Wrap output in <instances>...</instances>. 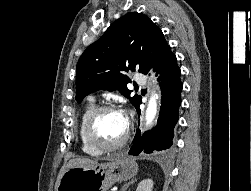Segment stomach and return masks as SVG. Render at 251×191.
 <instances>
[{"mask_svg":"<svg viewBox=\"0 0 251 191\" xmlns=\"http://www.w3.org/2000/svg\"><path fill=\"white\" fill-rule=\"evenodd\" d=\"M107 159L94 169L70 167L63 173L57 191H107L116 181L131 179L138 171V163L128 155H117L114 161Z\"/></svg>","mask_w":251,"mask_h":191,"instance_id":"0dacf381","label":"stomach"}]
</instances>
